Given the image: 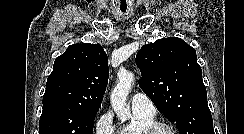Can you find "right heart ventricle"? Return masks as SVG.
Listing matches in <instances>:
<instances>
[{"instance_id":"e07e8e85","label":"right heart ventricle","mask_w":244,"mask_h":134,"mask_svg":"<svg viewBox=\"0 0 244 134\" xmlns=\"http://www.w3.org/2000/svg\"><path fill=\"white\" fill-rule=\"evenodd\" d=\"M133 121L127 126L119 128L115 134H141L142 130L154 122V116L133 112Z\"/></svg>"}]
</instances>
